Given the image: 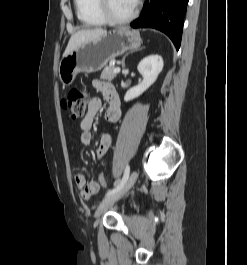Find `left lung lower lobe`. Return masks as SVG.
Segmentation results:
<instances>
[{
  "mask_svg": "<svg viewBox=\"0 0 247 265\" xmlns=\"http://www.w3.org/2000/svg\"><path fill=\"white\" fill-rule=\"evenodd\" d=\"M189 0H146L133 28H155L164 32L180 48L182 27Z\"/></svg>",
  "mask_w": 247,
  "mask_h": 265,
  "instance_id": "1",
  "label": "left lung lower lobe"
}]
</instances>
